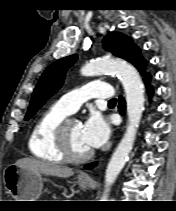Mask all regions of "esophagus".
<instances>
[{"label":"esophagus","instance_id":"esophagus-1","mask_svg":"<svg viewBox=\"0 0 176 211\" xmlns=\"http://www.w3.org/2000/svg\"><path fill=\"white\" fill-rule=\"evenodd\" d=\"M80 177L82 178V179H85V180H88V179H90V176H89V174L88 173H81L80 174Z\"/></svg>","mask_w":176,"mask_h":211}]
</instances>
